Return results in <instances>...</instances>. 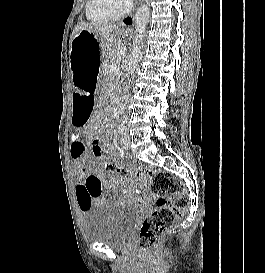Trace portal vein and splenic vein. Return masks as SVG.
Here are the masks:
<instances>
[{
    "label": "portal vein and splenic vein",
    "mask_w": 265,
    "mask_h": 273,
    "mask_svg": "<svg viewBox=\"0 0 265 273\" xmlns=\"http://www.w3.org/2000/svg\"><path fill=\"white\" fill-rule=\"evenodd\" d=\"M119 68L118 67H116V66H113V67H111V69H110V72H114V71H117Z\"/></svg>",
    "instance_id": "obj_1"
}]
</instances>
